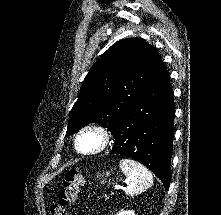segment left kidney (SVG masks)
Returning a JSON list of instances; mask_svg holds the SVG:
<instances>
[{"instance_id": "1", "label": "left kidney", "mask_w": 221, "mask_h": 215, "mask_svg": "<svg viewBox=\"0 0 221 215\" xmlns=\"http://www.w3.org/2000/svg\"><path fill=\"white\" fill-rule=\"evenodd\" d=\"M116 215H135L133 210H122L121 212L117 213Z\"/></svg>"}]
</instances>
